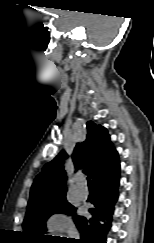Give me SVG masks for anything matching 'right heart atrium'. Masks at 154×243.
<instances>
[{"label": "right heart atrium", "instance_id": "d8ad5b80", "mask_svg": "<svg viewBox=\"0 0 154 243\" xmlns=\"http://www.w3.org/2000/svg\"><path fill=\"white\" fill-rule=\"evenodd\" d=\"M46 225L51 231H62L67 228L62 218L58 214L50 216L46 222Z\"/></svg>", "mask_w": 154, "mask_h": 243}]
</instances>
